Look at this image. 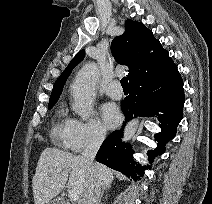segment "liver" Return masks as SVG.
<instances>
[{
	"label": "liver",
	"mask_w": 212,
	"mask_h": 204,
	"mask_svg": "<svg viewBox=\"0 0 212 204\" xmlns=\"http://www.w3.org/2000/svg\"><path fill=\"white\" fill-rule=\"evenodd\" d=\"M57 169H61L62 172L58 173ZM94 173L100 186L110 188L114 180L113 171L110 168L96 163ZM88 177L89 169L81 156L47 147L39 157L32 181L34 203L47 204L65 186L76 189L83 199Z\"/></svg>",
	"instance_id": "6515ba94"
}]
</instances>
